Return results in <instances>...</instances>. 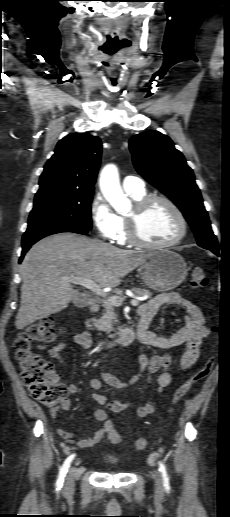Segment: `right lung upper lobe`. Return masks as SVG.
<instances>
[{
	"label": "right lung upper lobe",
	"instance_id": "obj_1",
	"mask_svg": "<svg viewBox=\"0 0 230 517\" xmlns=\"http://www.w3.org/2000/svg\"><path fill=\"white\" fill-rule=\"evenodd\" d=\"M101 160V141L84 133L60 140L40 176L35 198L58 193L93 192Z\"/></svg>",
	"mask_w": 230,
	"mask_h": 517
}]
</instances>
